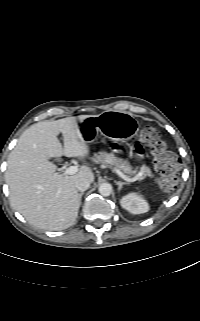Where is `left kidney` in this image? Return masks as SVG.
Instances as JSON below:
<instances>
[{
    "mask_svg": "<svg viewBox=\"0 0 200 321\" xmlns=\"http://www.w3.org/2000/svg\"><path fill=\"white\" fill-rule=\"evenodd\" d=\"M121 206L132 214H142L149 211L148 203L135 193L122 197Z\"/></svg>",
    "mask_w": 200,
    "mask_h": 321,
    "instance_id": "left-kidney-1",
    "label": "left kidney"
}]
</instances>
